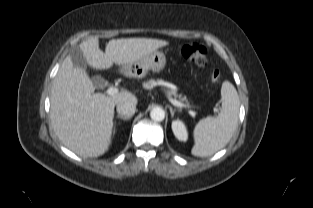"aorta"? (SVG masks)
<instances>
[{
    "instance_id": "762f6f07",
    "label": "aorta",
    "mask_w": 313,
    "mask_h": 208,
    "mask_svg": "<svg viewBox=\"0 0 313 208\" xmlns=\"http://www.w3.org/2000/svg\"><path fill=\"white\" fill-rule=\"evenodd\" d=\"M150 117L154 121H163L165 118V111L161 107H154L150 112Z\"/></svg>"
}]
</instances>
